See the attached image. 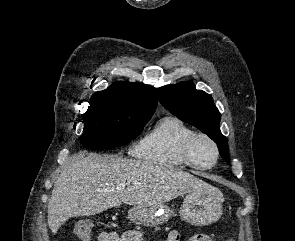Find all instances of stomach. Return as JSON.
Instances as JSON below:
<instances>
[{
    "mask_svg": "<svg viewBox=\"0 0 295 241\" xmlns=\"http://www.w3.org/2000/svg\"><path fill=\"white\" fill-rule=\"evenodd\" d=\"M223 194L210 186L190 192L180 208L183 221L194 226H206L216 222L222 215ZM172 211L167 205H134L128 210L129 219L139 225L158 226L169 220Z\"/></svg>",
    "mask_w": 295,
    "mask_h": 241,
    "instance_id": "0dacf381",
    "label": "stomach"
}]
</instances>
